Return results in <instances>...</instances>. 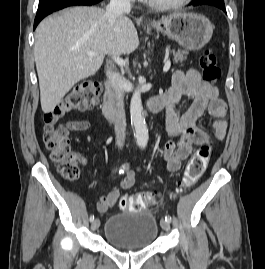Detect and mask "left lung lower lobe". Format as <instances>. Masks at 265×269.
I'll return each mask as SVG.
<instances>
[{"label": "left lung lower lobe", "instance_id": "left-lung-lower-lobe-1", "mask_svg": "<svg viewBox=\"0 0 265 269\" xmlns=\"http://www.w3.org/2000/svg\"><path fill=\"white\" fill-rule=\"evenodd\" d=\"M203 4L218 7L220 9H222L224 12H226L224 0H197V1L192 3V5H194V6L203 5Z\"/></svg>", "mask_w": 265, "mask_h": 269}]
</instances>
